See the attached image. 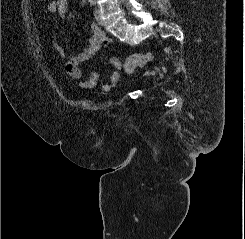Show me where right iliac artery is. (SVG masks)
I'll return each instance as SVG.
<instances>
[{
  "instance_id": "1",
  "label": "right iliac artery",
  "mask_w": 245,
  "mask_h": 239,
  "mask_svg": "<svg viewBox=\"0 0 245 239\" xmlns=\"http://www.w3.org/2000/svg\"><path fill=\"white\" fill-rule=\"evenodd\" d=\"M89 3H90V6H93L94 5V0H88Z\"/></svg>"
}]
</instances>
